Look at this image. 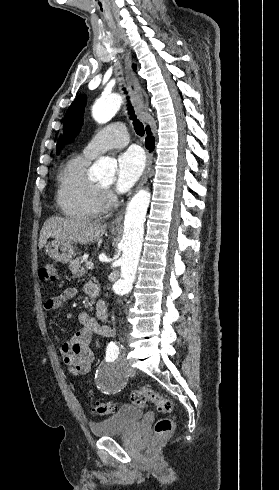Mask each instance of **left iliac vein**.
Segmentation results:
<instances>
[{
    "instance_id": "1",
    "label": "left iliac vein",
    "mask_w": 279,
    "mask_h": 490,
    "mask_svg": "<svg viewBox=\"0 0 279 490\" xmlns=\"http://www.w3.org/2000/svg\"><path fill=\"white\" fill-rule=\"evenodd\" d=\"M124 362L128 366L129 364H131L132 361H131V359L127 358V359H125Z\"/></svg>"
}]
</instances>
